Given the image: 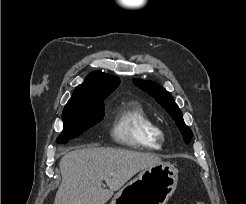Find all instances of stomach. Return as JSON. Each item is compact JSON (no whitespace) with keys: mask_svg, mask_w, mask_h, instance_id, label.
<instances>
[{"mask_svg":"<svg viewBox=\"0 0 246 204\" xmlns=\"http://www.w3.org/2000/svg\"><path fill=\"white\" fill-rule=\"evenodd\" d=\"M178 182V170L171 164L159 163L142 170L127 183L110 204H166Z\"/></svg>","mask_w":246,"mask_h":204,"instance_id":"obj_1","label":"stomach"}]
</instances>
